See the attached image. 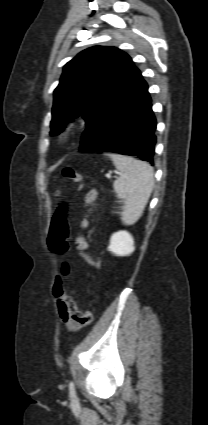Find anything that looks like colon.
<instances>
[{
	"label": "colon",
	"mask_w": 208,
	"mask_h": 425,
	"mask_svg": "<svg viewBox=\"0 0 208 425\" xmlns=\"http://www.w3.org/2000/svg\"><path fill=\"white\" fill-rule=\"evenodd\" d=\"M63 176L75 184L79 188L82 187L81 174L72 167H66L62 171ZM69 204L62 202L59 204L55 215L53 216L51 227L48 236V245L50 249L57 254H65L70 250L68 243L69 239V225L68 216ZM81 257L91 265L100 267L102 261L99 257L85 253L81 249ZM71 274V265L69 262L64 261L57 273L56 279L52 286V292L56 299H61L65 302L67 312L70 319L79 327L89 325L93 320V314L90 310H79L73 298L66 293L63 287V281Z\"/></svg>",
	"instance_id": "5ec220e1"
}]
</instances>
